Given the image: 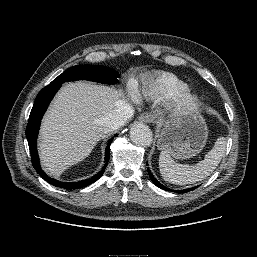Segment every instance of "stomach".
Returning <instances> with one entry per match:
<instances>
[{"label": "stomach", "mask_w": 257, "mask_h": 257, "mask_svg": "<svg viewBox=\"0 0 257 257\" xmlns=\"http://www.w3.org/2000/svg\"><path fill=\"white\" fill-rule=\"evenodd\" d=\"M208 130L200 114L165 122L158 138V147L176 159L191 158L204 148Z\"/></svg>", "instance_id": "stomach-1"}]
</instances>
